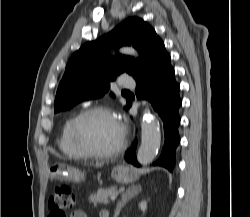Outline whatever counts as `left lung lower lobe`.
I'll use <instances>...</instances> for the list:
<instances>
[{"mask_svg": "<svg viewBox=\"0 0 250 217\" xmlns=\"http://www.w3.org/2000/svg\"><path fill=\"white\" fill-rule=\"evenodd\" d=\"M136 80V95L147 99L153 109L159 114L164 125L165 142L159 159L154 165L166 167L172 171L175 165V150L180 142L178 126L180 124L179 107L182 101L179 97L180 85L175 81V72L170 63V55L161 41L144 70L138 73ZM131 106V102L128 108ZM137 141L125 154V160L139 166L135 150Z\"/></svg>", "mask_w": 250, "mask_h": 217, "instance_id": "0a47b994", "label": "left lung lower lobe"}]
</instances>
